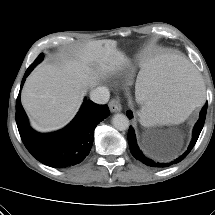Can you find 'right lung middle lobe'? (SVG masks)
Returning a JSON list of instances; mask_svg holds the SVG:
<instances>
[{"label": "right lung middle lobe", "mask_w": 215, "mask_h": 215, "mask_svg": "<svg viewBox=\"0 0 215 215\" xmlns=\"http://www.w3.org/2000/svg\"><path fill=\"white\" fill-rule=\"evenodd\" d=\"M43 59V54L41 53L37 59L30 65V67L34 68L41 60Z\"/></svg>", "instance_id": "right-lung-middle-lobe-1"}]
</instances>
